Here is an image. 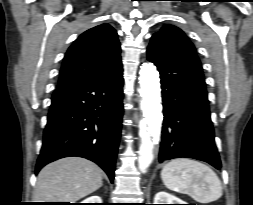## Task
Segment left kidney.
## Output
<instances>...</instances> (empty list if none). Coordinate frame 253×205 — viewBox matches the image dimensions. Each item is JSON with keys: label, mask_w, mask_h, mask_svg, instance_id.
<instances>
[{"label": "left kidney", "mask_w": 253, "mask_h": 205, "mask_svg": "<svg viewBox=\"0 0 253 205\" xmlns=\"http://www.w3.org/2000/svg\"><path fill=\"white\" fill-rule=\"evenodd\" d=\"M154 204H187L183 200L167 192H158L154 197Z\"/></svg>", "instance_id": "5707ae66"}]
</instances>
